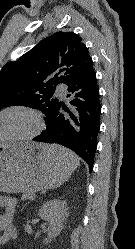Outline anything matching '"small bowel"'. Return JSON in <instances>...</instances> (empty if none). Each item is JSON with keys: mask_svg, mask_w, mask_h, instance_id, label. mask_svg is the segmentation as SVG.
Here are the masks:
<instances>
[{"mask_svg": "<svg viewBox=\"0 0 135 249\" xmlns=\"http://www.w3.org/2000/svg\"><path fill=\"white\" fill-rule=\"evenodd\" d=\"M16 205L17 201L13 197L0 196V208H4V213L0 214V247L6 246L17 237L14 225Z\"/></svg>", "mask_w": 135, "mask_h": 249, "instance_id": "c3829d8e", "label": "small bowel"}]
</instances>
